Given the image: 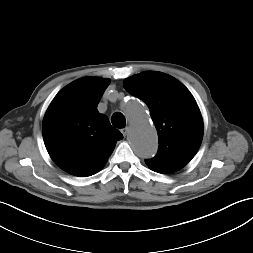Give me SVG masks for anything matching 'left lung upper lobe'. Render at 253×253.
I'll list each match as a JSON object with an SVG mask.
<instances>
[{"mask_svg":"<svg viewBox=\"0 0 253 253\" xmlns=\"http://www.w3.org/2000/svg\"><path fill=\"white\" fill-rule=\"evenodd\" d=\"M123 86L147 104L158 131V153L146 164L163 173L184 167L198 151L203 136L202 116L189 90L172 76L155 71L131 76Z\"/></svg>","mask_w":253,"mask_h":253,"instance_id":"obj_1","label":"left lung upper lobe"}]
</instances>
